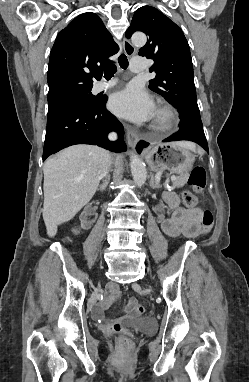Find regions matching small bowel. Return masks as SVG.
Wrapping results in <instances>:
<instances>
[{
	"label": "small bowel",
	"instance_id": "obj_1",
	"mask_svg": "<svg viewBox=\"0 0 249 382\" xmlns=\"http://www.w3.org/2000/svg\"><path fill=\"white\" fill-rule=\"evenodd\" d=\"M165 201L171 209L169 217H160V224L163 231L170 237H178L183 235L188 238H195L201 233V219L203 211L199 207H182L178 197L174 194L168 193L165 195ZM106 299L100 305L103 309L109 301L114 299L118 294V287L116 284L111 283L107 286ZM136 305V301L131 299L129 302V309Z\"/></svg>",
	"mask_w": 249,
	"mask_h": 382
}]
</instances>
